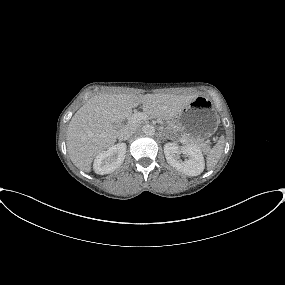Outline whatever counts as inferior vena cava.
<instances>
[{
	"instance_id": "602c4592",
	"label": "inferior vena cava",
	"mask_w": 285,
	"mask_h": 285,
	"mask_svg": "<svg viewBox=\"0 0 285 285\" xmlns=\"http://www.w3.org/2000/svg\"><path fill=\"white\" fill-rule=\"evenodd\" d=\"M135 131H136V128L133 127L132 125H129V124L125 125L118 130L117 138L120 141H125L129 139V137L132 136V134H134Z\"/></svg>"
}]
</instances>
